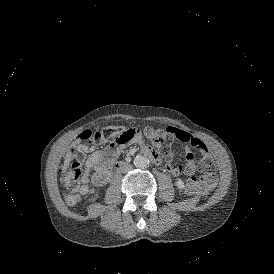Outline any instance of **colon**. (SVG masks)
Returning <instances> with one entry per match:
<instances>
[{
    "instance_id": "1",
    "label": "colon",
    "mask_w": 274,
    "mask_h": 274,
    "mask_svg": "<svg viewBox=\"0 0 274 274\" xmlns=\"http://www.w3.org/2000/svg\"><path fill=\"white\" fill-rule=\"evenodd\" d=\"M146 138L155 146L157 151L162 156H169L170 152L175 147H180V140H176L175 135H168L165 128H154L146 126L143 129ZM91 137L98 139L100 137L108 140L116 147H122L129 144H136L137 140L142 138V133L134 130H126L122 127H113L103 129L101 131L87 132L77 134V145L69 149L68 155L70 159L62 163L60 170L64 177V184L66 188L65 201L68 205H76L79 201L77 194V184L82 176V156L83 148L89 143ZM188 193L205 197L208 195L206 186L200 178L188 183Z\"/></svg>"
}]
</instances>
